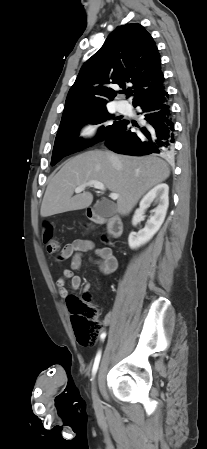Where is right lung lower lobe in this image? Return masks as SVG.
<instances>
[{
    "instance_id": "right-lung-lower-lobe-1",
    "label": "right lung lower lobe",
    "mask_w": 207,
    "mask_h": 449,
    "mask_svg": "<svg viewBox=\"0 0 207 449\" xmlns=\"http://www.w3.org/2000/svg\"><path fill=\"white\" fill-rule=\"evenodd\" d=\"M139 106L145 125L138 126L139 132H131L129 121L122 120L120 126L105 140L109 149L127 155L160 154L169 157L173 152L174 123L168 102V93L163 90L156 95L140 98L133 102Z\"/></svg>"
}]
</instances>
